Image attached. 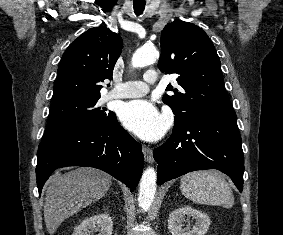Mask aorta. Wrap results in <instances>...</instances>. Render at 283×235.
I'll use <instances>...</instances> for the list:
<instances>
[{
	"label": "aorta",
	"instance_id": "obj_1",
	"mask_svg": "<svg viewBox=\"0 0 283 235\" xmlns=\"http://www.w3.org/2000/svg\"><path fill=\"white\" fill-rule=\"evenodd\" d=\"M158 56L159 52L154 46H144L133 54L132 66L135 68L145 67L156 61ZM156 179L157 175L153 167H148L142 174L138 203L144 211H147L153 203L156 193Z\"/></svg>",
	"mask_w": 283,
	"mask_h": 235
}]
</instances>
